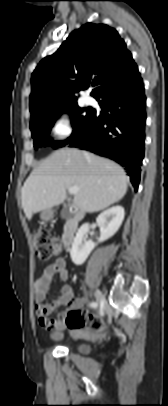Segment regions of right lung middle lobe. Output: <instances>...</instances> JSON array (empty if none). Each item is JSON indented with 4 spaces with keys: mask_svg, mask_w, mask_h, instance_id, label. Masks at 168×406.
<instances>
[{
    "mask_svg": "<svg viewBox=\"0 0 168 406\" xmlns=\"http://www.w3.org/2000/svg\"><path fill=\"white\" fill-rule=\"evenodd\" d=\"M86 111V114H84ZM69 113L71 115V123L74 128L72 135L65 141L53 143L48 137L50 129L53 126L57 117L63 113ZM93 113L91 109L80 108L77 104L71 105L57 113L47 116L37 122L30 124L32 137L34 139V147L46 146L48 144L53 145L55 148H60L66 145L89 121Z\"/></svg>",
    "mask_w": 168,
    "mask_h": 406,
    "instance_id": "1",
    "label": "right lung middle lobe"
}]
</instances>
